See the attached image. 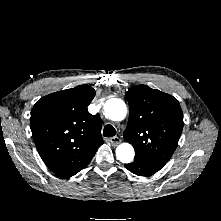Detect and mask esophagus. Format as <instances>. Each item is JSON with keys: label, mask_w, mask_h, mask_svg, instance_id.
Masks as SVG:
<instances>
[{"label": "esophagus", "mask_w": 221, "mask_h": 221, "mask_svg": "<svg viewBox=\"0 0 221 221\" xmlns=\"http://www.w3.org/2000/svg\"><path fill=\"white\" fill-rule=\"evenodd\" d=\"M109 142L112 146H117L121 142V139L118 136H114L109 139Z\"/></svg>", "instance_id": "obj_1"}]
</instances>
